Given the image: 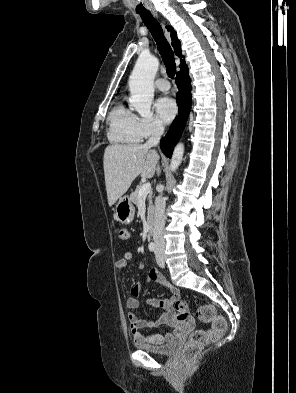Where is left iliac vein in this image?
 Wrapping results in <instances>:
<instances>
[{
    "label": "left iliac vein",
    "mask_w": 296,
    "mask_h": 393,
    "mask_svg": "<svg viewBox=\"0 0 296 393\" xmlns=\"http://www.w3.org/2000/svg\"><path fill=\"white\" fill-rule=\"evenodd\" d=\"M155 257H156L157 264H158L160 267H164V266H165V261H164L163 251L160 250V249H157V250L155 251Z\"/></svg>",
    "instance_id": "4c4485c4"
}]
</instances>
